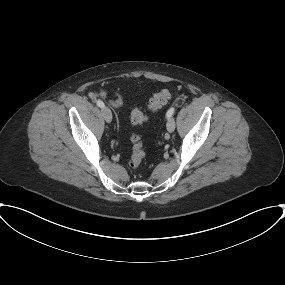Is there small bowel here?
Returning <instances> with one entry per match:
<instances>
[{"label": "small bowel", "instance_id": "c3829d8e", "mask_svg": "<svg viewBox=\"0 0 285 285\" xmlns=\"http://www.w3.org/2000/svg\"><path fill=\"white\" fill-rule=\"evenodd\" d=\"M99 95L103 98H106L108 96V93L103 90L99 92ZM123 102L124 99L122 95L117 92L114 94V97L110 100L111 105L115 108L120 107L123 104Z\"/></svg>", "mask_w": 285, "mask_h": 285}]
</instances>
